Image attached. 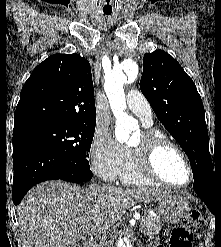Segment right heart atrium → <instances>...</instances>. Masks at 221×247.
I'll list each match as a JSON object with an SVG mask.
<instances>
[{"label":"right heart atrium","mask_w":221,"mask_h":247,"mask_svg":"<svg viewBox=\"0 0 221 247\" xmlns=\"http://www.w3.org/2000/svg\"><path fill=\"white\" fill-rule=\"evenodd\" d=\"M125 147L107 131L98 129L89 148V162L92 171L107 181L119 177L124 159Z\"/></svg>","instance_id":"obj_1"}]
</instances>
